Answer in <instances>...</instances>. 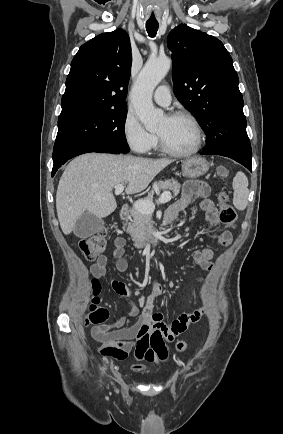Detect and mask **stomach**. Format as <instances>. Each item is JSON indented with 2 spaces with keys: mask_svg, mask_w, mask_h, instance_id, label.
I'll return each instance as SVG.
<instances>
[{
  "mask_svg": "<svg viewBox=\"0 0 283 434\" xmlns=\"http://www.w3.org/2000/svg\"><path fill=\"white\" fill-rule=\"evenodd\" d=\"M182 174L187 178H197L209 169V163L202 157H191L181 162Z\"/></svg>",
  "mask_w": 283,
  "mask_h": 434,
  "instance_id": "0dacf381",
  "label": "stomach"
}]
</instances>
